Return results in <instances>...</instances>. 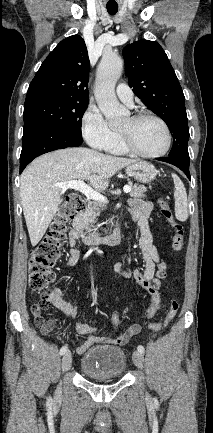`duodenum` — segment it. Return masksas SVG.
<instances>
[{"label": "duodenum", "instance_id": "duodenum-1", "mask_svg": "<svg viewBox=\"0 0 213 433\" xmlns=\"http://www.w3.org/2000/svg\"><path fill=\"white\" fill-rule=\"evenodd\" d=\"M84 207H85V203L83 208L80 210V212L75 216L73 220V227L85 245H89V246L99 245V244L116 245L121 242L123 238V234L120 230H117L112 234L106 236H103L98 233L88 234L84 232L81 224V219H80V213L82 212Z\"/></svg>", "mask_w": 213, "mask_h": 433}]
</instances>
